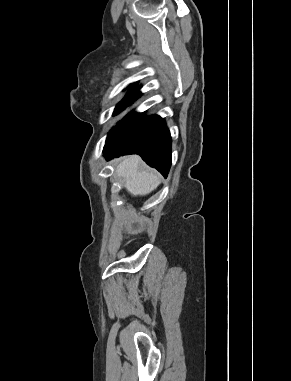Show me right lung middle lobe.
<instances>
[{
  "instance_id": "obj_1",
  "label": "right lung middle lobe",
  "mask_w": 291,
  "mask_h": 381,
  "mask_svg": "<svg viewBox=\"0 0 291 381\" xmlns=\"http://www.w3.org/2000/svg\"><path fill=\"white\" fill-rule=\"evenodd\" d=\"M130 87H131L130 92L127 93L125 98L121 102L118 103V105L116 106V108L114 110L113 115H116L120 111H123L126 107H128L130 105L131 102H133V99H134L135 94L137 92L136 91L137 86L134 84H131ZM123 120H124V118L115 127H113L110 130V132L108 133V137H107L106 142H114L115 140H117L119 138L120 133H121V124H122Z\"/></svg>"
}]
</instances>
